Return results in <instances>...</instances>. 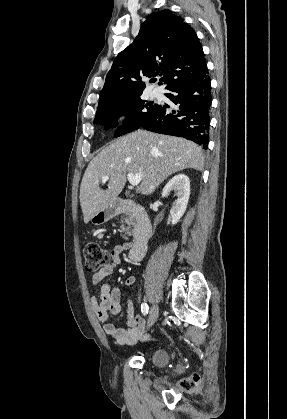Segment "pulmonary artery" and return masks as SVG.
Instances as JSON below:
<instances>
[{
  "instance_id": "pulmonary-artery-1",
  "label": "pulmonary artery",
  "mask_w": 287,
  "mask_h": 419,
  "mask_svg": "<svg viewBox=\"0 0 287 419\" xmlns=\"http://www.w3.org/2000/svg\"><path fill=\"white\" fill-rule=\"evenodd\" d=\"M151 94L154 96V95H156L157 93H156V91H152V93H151Z\"/></svg>"
}]
</instances>
